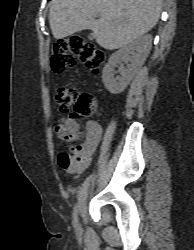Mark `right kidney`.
<instances>
[{"label":"right kidney","mask_w":194,"mask_h":250,"mask_svg":"<svg viewBox=\"0 0 194 250\" xmlns=\"http://www.w3.org/2000/svg\"><path fill=\"white\" fill-rule=\"evenodd\" d=\"M152 45V36L144 35L113 53L103 69L102 80L105 88L112 94L125 90L135 74L144 64ZM128 63L120 68V76L114 77V69L120 63Z\"/></svg>","instance_id":"obj_1"}]
</instances>
